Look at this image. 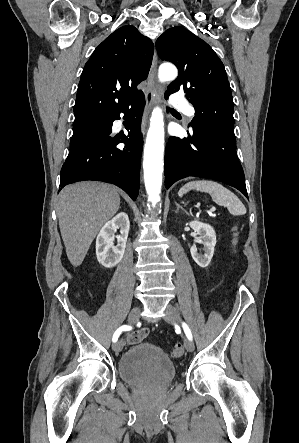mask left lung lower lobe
I'll return each mask as SVG.
<instances>
[{"mask_svg": "<svg viewBox=\"0 0 299 443\" xmlns=\"http://www.w3.org/2000/svg\"><path fill=\"white\" fill-rule=\"evenodd\" d=\"M164 172L167 189L177 180L195 176L226 183L248 198L244 172L236 154V139L213 126H196L187 138L170 137Z\"/></svg>", "mask_w": 299, "mask_h": 443, "instance_id": "left-lung-lower-lobe-1", "label": "left lung lower lobe"}]
</instances>
